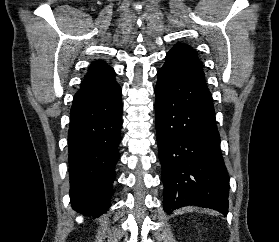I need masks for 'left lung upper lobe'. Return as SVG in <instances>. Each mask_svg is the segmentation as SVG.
<instances>
[{
  "label": "left lung upper lobe",
  "mask_w": 279,
  "mask_h": 242,
  "mask_svg": "<svg viewBox=\"0 0 279 242\" xmlns=\"http://www.w3.org/2000/svg\"><path fill=\"white\" fill-rule=\"evenodd\" d=\"M182 56L186 59L190 64L197 67L202 73V62L199 60L197 54L194 52L192 47L186 44H176L173 48L168 52Z\"/></svg>",
  "instance_id": "left-lung-upper-lobe-1"
}]
</instances>
